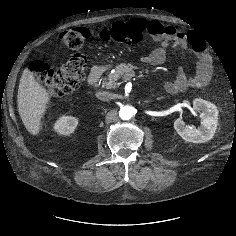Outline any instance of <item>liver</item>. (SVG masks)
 Instances as JSON below:
<instances>
[{
  "label": "liver",
  "mask_w": 236,
  "mask_h": 236,
  "mask_svg": "<svg viewBox=\"0 0 236 236\" xmlns=\"http://www.w3.org/2000/svg\"><path fill=\"white\" fill-rule=\"evenodd\" d=\"M17 102L25 128L30 134L37 136L41 129V119L50 103V95L28 68L20 79Z\"/></svg>",
  "instance_id": "liver-1"
}]
</instances>
